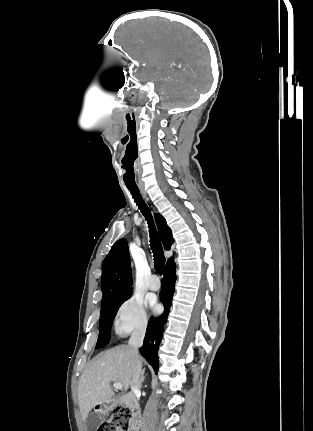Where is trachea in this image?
<instances>
[{
	"label": "trachea",
	"mask_w": 313,
	"mask_h": 431,
	"mask_svg": "<svg viewBox=\"0 0 313 431\" xmlns=\"http://www.w3.org/2000/svg\"><path fill=\"white\" fill-rule=\"evenodd\" d=\"M127 188L130 191L135 203L138 205L139 209L141 210L146 220L148 221L149 231H150V246L154 256L155 270L157 271L158 274L162 275L165 267V257H164L161 241L158 237L157 231L153 224L150 210L147 207L144 200L142 199L140 191L137 187L127 186Z\"/></svg>",
	"instance_id": "1"
}]
</instances>
